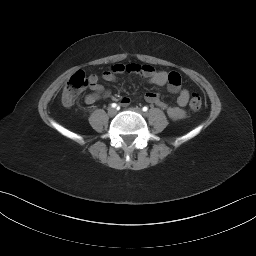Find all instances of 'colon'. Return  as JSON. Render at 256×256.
<instances>
[{"mask_svg":"<svg viewBox=\"0 0 256 256\" xmlns=\"http://www.w3.org/2000/svg\"><path fill=\"white\" fill-rule=\"evenodd\" d=\"M90 84V79L84 72L78 71L74 73L68 80L61 101L65 106L73 105L81 92ZM203 105V97L200 93H192L189 101V106L192 110H200Z\"/></svg>","mask_w":256,"mask_h":256,"instance_id":"obj_1","label":"colon"}]
</instances>
